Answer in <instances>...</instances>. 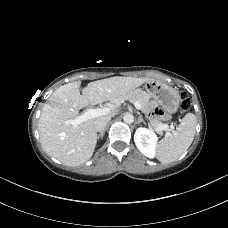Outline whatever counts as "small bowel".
I'll list each match as a JSON object with an SVG mask.
<instances>
[{"mask_svg":"<svg viewBox=\"0 0 228 228\" xmlns=\"http://www.w3.org/2000/svg\"><path fill=\"white\" fill-rule=\"evenodd\" d=\"M157 114H161V112L156 111Z\"/></svg>","mask_w":228,"mask_h":228,"instance_id":"small-bowel-1","label":"small bowel"}]
</instances>
